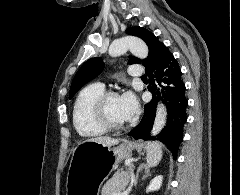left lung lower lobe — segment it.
<instances>
[{
    "mask_svg": "<svg viewBox=\"0 0 240 195\" xmlns=\"http://www.w3.org/2000/svg\"><path fill=\"white\" fill-rule=\"evenodd\" d=\"M148 76L151 84L148 90L153 94V99L145 104L141 122L128 135L135 139H152L150 133L155 119L156 104L161 99L167 107L168 116L166 126L156 136V139L164 143L172 152L173 159H176L178 147L183 139L188 106L179 64L170 54Z\"/></svg>",
    "mask_w": 240,
    "mask_h": 195,
    "instance_id": "obj_1",
    "label": "left lung lower lobe"
}]
</instances>
